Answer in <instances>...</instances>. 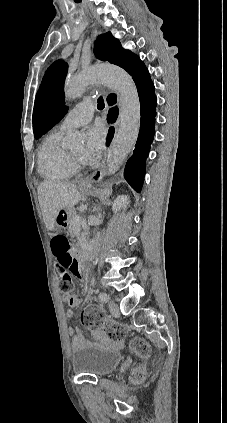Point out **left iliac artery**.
Returning a JSON list of instances; mask_svg holds the SVG:
<instances>
[{"instance_id":"44dca946","label":"left iliac artery","mask_w":227,"mask_h":423,"mask_svg":"<svg viewBox=\"0 0 227 423\" xmlns=\"http://www.w3.org/2000/svg\"><path fill=\"white\" fill-rule=\"evenodd\" d=\"M99 300L101 302H107L109 300V295L106 293H100Z\"/></svg>"}]
</instances>
